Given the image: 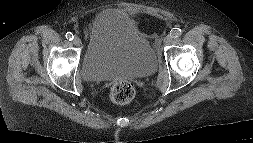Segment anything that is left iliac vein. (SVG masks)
<instances>
[{"label": "left iliac vein", "mask_w": 253, "mask_h": 143, "mask_svg": "<svg viewBox=\"0 0 253 143\" xmlns=\"http://www.w3.org/2000/svg\"><path fill=\"white\" fill-rule=\"evenodd\" d=\"M172 40H173L172 36L167 35V36H165L163 42H164L165 45H169L172 42Z\"/></svg>", "instance_id": "4c4485c4"}]
</instances>
